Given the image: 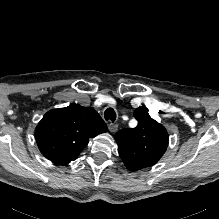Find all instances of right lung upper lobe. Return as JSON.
<instances>
[{
    "mask_svg": "<svg viewBox=\"0 0 219 219\" xmlns=\"http://www.w3.org/2000/svg\"><path fill=\"white\" fill-rule=\"evenodd\" d=\"M107 131L100 115L78 104L52 109L35 129L40 152L50 161L65 165L77 159L89 139Z\"/></svg>",
    "mask_w": 219,
    "mask_h": 219,
    "instance_id": "1",
    "label": "right lung upper lobe"
}]
</instances>
